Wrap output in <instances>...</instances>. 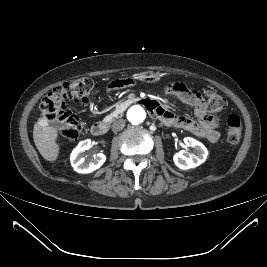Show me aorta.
I'll list each match as a JSON object with an SVG mask.
<instances>
[{"mask_svg":"<svg viewBox=\"0 0 267 267\" xmlns=\"http://www.w3.org/2000/svg\"><path fill=\"white\" fill-rule=\"evenodd\" d=\"M127 119L134 125L140 124L146 119V112L139 105L132 106L127 112Z\"/></svg>","mask_w":267,"mask_h":267,"instance_id":"aorta-1","label":"aorta"}]
</instances>
